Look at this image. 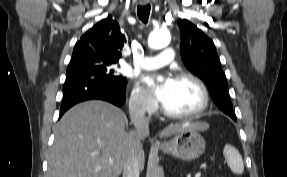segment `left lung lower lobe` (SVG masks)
Masks as SVG:
<instances>
[{"mask_svg": "<svg viewBox=\"0 0 287 177\" xmlns=\"http://www.w3.org/2000/svg\"><path fill=\"white\" fill-rule=\"evenodd\" d=\"M232 119L236 120V117H231Z\"/></svg>", "mask_w": 287, "mask_h": 177, "instance_id": "left-lung-lower-lobe-1", "label": "left lung lower lobe"}]
</instances>
